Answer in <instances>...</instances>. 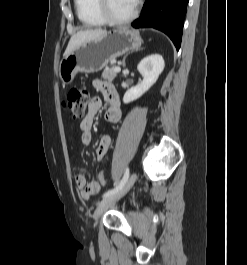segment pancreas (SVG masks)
I'll return each instance as SVG.
<instances>
[{"label":"pancreas","mask_w":247,"mask_h":265,"mask_svg":"<svg viewBox=\"0 0 247 265\" xmlns=\"http://www.w3.org/2000/svg\"><path fill=\"white\" fill-rule=\"evenodd\" d=\"M116 77L115 67H106L102 73V79L112 81Z\"/></svg>","instance_id":"1"}]
</instances>
